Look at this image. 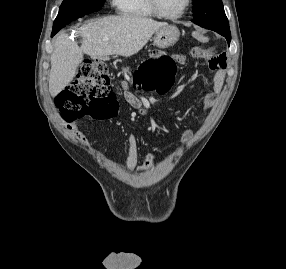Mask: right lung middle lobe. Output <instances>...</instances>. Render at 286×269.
Wrapping results in <instances>:
<instances>
[{"instance_id":"right-lung-middle-lobe-1","label":"right lung middle lobe","mask_w":286,"mask_h":269,"mask_svg":"<svg viewBox=\"0 0 286 269\" xmlns=\"http://www.w3.org/2000/svg\"><path fill=\"white\" fill-rule=\"evenodd\" d=\"M105 0H63L53 30H60L71 21L101 9Z\"/></svg>"}]
</instances>
